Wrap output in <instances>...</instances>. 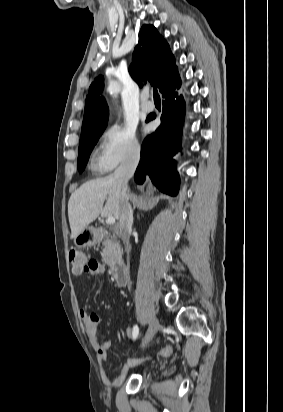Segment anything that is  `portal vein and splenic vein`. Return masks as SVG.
I'll return each mask as SVG.
<instances>
[{
	"label": "portal vein and splenic vein",
	"instance_id": "portal-vein-and-splenic-vein-1",
	"mask_svg": "<svg viewBox=\"0 0 283 412\" xmlns=\"http://www.w3.org/2000/svg\"><path fill=\"white\" fill-rule=\"evenodd\" d=\"M106 223L108 225H113L115 223V218L114 217H107Z\"/></svg>",
	"mask_w": 283,
	"mask_h": 412
}]
</instances>
